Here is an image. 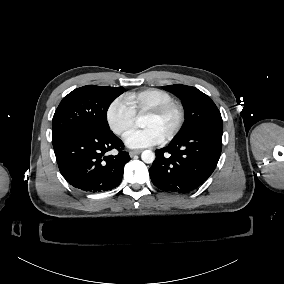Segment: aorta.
Wrapping results in <instances>:
<instances>
[{
    "label": "aorta",
    "mask_w": 284,
    "mask_h": 284,
    "mask_svg": "<svg viewBox=\"0 0 284 284\" xmlns=\"http://www.w3.org/2000/svg\"><path fill=\"white\" fill-rule=\"evenodd\" d=\"M139 121H141V118H139ZM141 159L147 164L153 163L155 160V154L151 150H145L141 154Z\"/></svg>",
    "instance_id": "762f6f07"
}]
</instances>
